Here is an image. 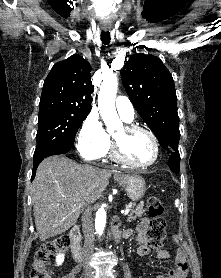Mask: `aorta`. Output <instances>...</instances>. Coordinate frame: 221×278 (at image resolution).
Returning <instances> with one entry per match:
<instances>
[{"label": "aorta", "mask_w": 221, "mask_h": 278, "mask_svg": "<svg viewBox=\"0 0 221 278\" xmlns=\"http://www.w3.org/2000/svg\"><path fill=\"white\" fill-rule=\"evenodd\" d=\"M118 87L116 75H109L103 79L98 94V108L104 122L109 126L110 120H118L115 108V98ZM106 224L105 205H102L95 218V230L98 235H102Z\"/></svg>", "instance_id": "1"}]
</instances>
